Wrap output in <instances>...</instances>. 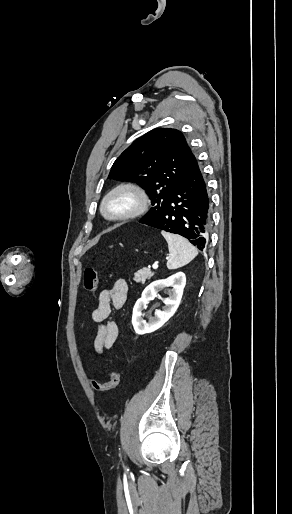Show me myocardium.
Wrapping results in <instances>:
<instances>
[{"label":"myocardium","instance_id":"obj_1","mask_svg":"<svg viewBox=\"0 0 292 514\" xmlns=\"http://www.w3.org/2000/svg\"><path fill=\"white\" fill-rule=\"evenodd\" d=\"M124 200L125 204L119 210H113V204ZM148 205L146 193L134 184H120L113 187L102 199L100 213L110 221H122L143 213Z\"/></svg>","mask_w":292,"mask_h":514}]
</instances>
